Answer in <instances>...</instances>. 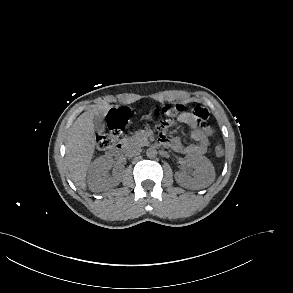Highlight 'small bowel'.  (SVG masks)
Returning <instances> with one entry per match:
<instances>
[{"mask_svg": "<svg viewBox=\"0 0 293 293\" xmlns=\"http://www.w3.org/2000/svg\"><path fill=\"white\" fill-rule=\"evenodd\" d=\"M176 121L188 124L191 127V138L195 143L184 146L178 138H160V141L167 144L174 151L182 154H204L209 147V139L212 135V130L204 127L203 123L193 113L183 112L177 117Z\"/></svg>", "mask_w": 293, "mask_h": 293, "instance_id": "small-bowel-1", "label": "small bowel"}]
</instances>
